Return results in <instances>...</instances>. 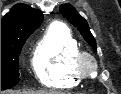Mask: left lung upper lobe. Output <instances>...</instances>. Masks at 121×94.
<instances>
[{"mask_svg":"<svg viewBox=\"0 0 121 94\" xmlns=\"http://www.w3.org/2000/svg\"><path fill=\"white\" fill-rule=\"evenodd\" d=\"M60 12L70 23L78 28L87 43H89L93 49L96 50V41L89 30L86 20L80 16L70 4L61 5Z\"/></svg>","mask_w":121,"mask_h":94,"instance_id":"1","label":"left lung upper lobe"}]
</instances>
